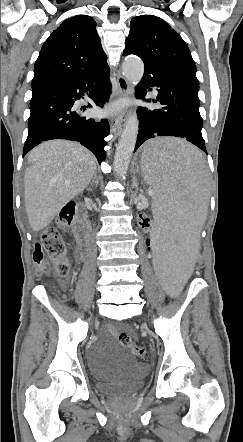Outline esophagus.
<instances>
[{"mask_svg": "<svg viewBox=\"0 0 243 442\" xmlns=\"http://www.w3.org/2000/svg\"><path fill=\"white\" fill-rule=\"evenodd\" d=\"M115 95L117 97H128L130 95L129 84L127 80L121 75L117 77V91ZM127 112V110H124L115 117L114 122L111 125L112 133L116 134L121 132L126 122Z\"/></svg>", "mask_w": 243, "mask_h": 442, "instance_id": "esophagus-1", "label": "esophagus"}]
</instances>
